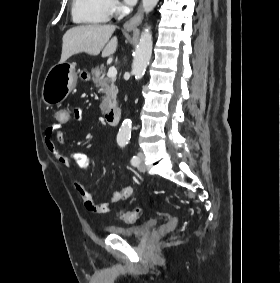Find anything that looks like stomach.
Masks as SVG:
<instances>
[{
    "label": "stomach",
    "instance_id": "obj_1",
    "mask_svg": "<svg viewBox=\"0 0 280 283\" xmlns=\"http://www.w3.org/2000/svg\"><path fill=\"white\" fill-rule=\"evenodd\" d=\"M71 63H58L47 72L43 87L42 100L47 105L59 104L64 101L75 88L78 74Z\"/></svg>",
    "mask_w": 280,
    "mask_h": 283
}]
</instances>
